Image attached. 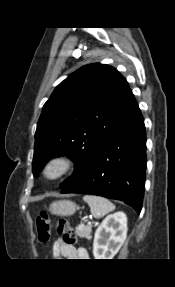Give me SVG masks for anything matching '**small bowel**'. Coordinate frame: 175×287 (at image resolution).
Wrapping results in <instances>:
<instances>
[{"instance_id": "obj_1", "label": "small bowel", "mask_w": 175, "mask_h": 287, "mask_svg": "<svg viewBox=\"0 0 175 287\" xmlns=\"http://www.w3.org/2000/svg\"><path fill=\"white\" fill-rule=\"evenodd\" d=\"M53 255L68 259H88L89 254L85 248H75L66 244L62 238H57L53 243Z\"/></svg>"}]
</instances>
